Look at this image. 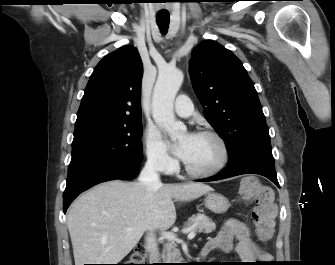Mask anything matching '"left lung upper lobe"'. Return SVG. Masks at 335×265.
I'll list each match as a JSON object with an SVG mask.
<instances>
[{"mask_svg":"<svg viewBox=\"0 0 335 265\" xmlns=\"http://www.w3.org/2000/svg\"><path fill=\"white\" fill-rule=\"evenodd\" d=\"M189 72L207 121L226 143L228 165L274 166L262 106L241 61L220 44L206 40L194 49Z\"/></svg>","mask_w":335,"mask_h":265,"instance_id":"left-lung-upper-lobe-1","label":"left lung upper lobe"}]
</instances>
